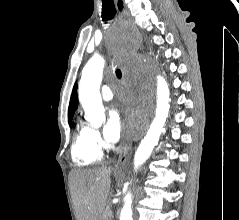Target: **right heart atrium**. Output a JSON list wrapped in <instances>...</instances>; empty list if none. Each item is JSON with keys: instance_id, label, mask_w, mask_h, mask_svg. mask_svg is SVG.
Masks as SVG:
<instances>
[{"instance_id": "obj_1", "label": "right heart atrium", "mask_w": 239, "mask_h": 220, "mask_svg": "<svg viewBox=\"0 0 239 220\" xmlns=\"http://www.w3.org/2000/svg\"><path fill=\"white\" fill-rule=\"evenodd\" d=\"M91 140L93 144L99 149H103L105 147V143L101 137L100 132L97 129L91 128Z\"/></svg>"}]
</instances>
